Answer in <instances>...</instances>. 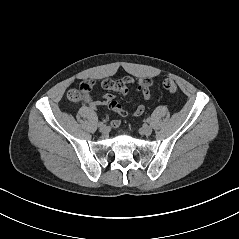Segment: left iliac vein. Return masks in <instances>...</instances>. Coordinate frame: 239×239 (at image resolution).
Instances as JSON below:
<instances>
[{
  "label": "left iliac vein",
  "instance_id": "4c4485c4",
  "mask_svg": "<svg viewBox=\"0 0 239 239\" xmlns=\"http://www.w3.org/2000/svg\"><path fill=\"white\" fill-rule=\"evenodd\" d=\"M141 133L144 135H150L152 133V128L148 125H145L141 128Z\"/></svg>",
  "mask_w": 239,
  "mask_h": 239
}]
</instances>
